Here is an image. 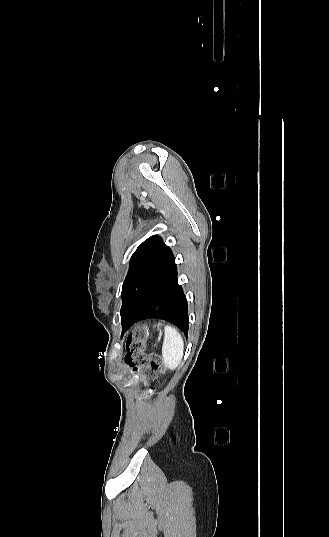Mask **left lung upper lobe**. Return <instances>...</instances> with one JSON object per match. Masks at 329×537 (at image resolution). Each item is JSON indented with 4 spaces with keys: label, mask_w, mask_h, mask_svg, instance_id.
<instances>
[{
    "label": "left lung upper lobe",
    "mask_w": 329,
    "mask_h": 537,
    "mask_svg": "<svg viewBox=\"0 0 329 537\" xmlns=\"http://www.w3.org/2000/svg\"><path fill=\"white\" fill-rule=\"evenodd\" d=\"M174 259L172 250L158 235L141 243L130 259L122 286L121 320L137 304L151 281Z\"/></svg>",
    "instance_id": "5c2ea615"
}]
</instances>
